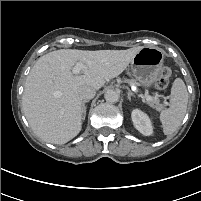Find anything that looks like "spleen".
Segmentation results:
<instances>
[{
    "label": "spleen",
    "instance_id": "spleen-1",
    "mask_svg": "<svg viewBox=\"0 0 201 201\" xmlns=\"http://www.w3.org/2000/svg\"><path fill=\"white\" fill-rule=\"evenodd\" d=\"M188 92L182 79L173 82L169 108L160 114V120L165 135L173 134L181 124L187 110Z\"/></svg>",
    "mask_w": 201,
    "mask_h": 201
}]
</instances>
